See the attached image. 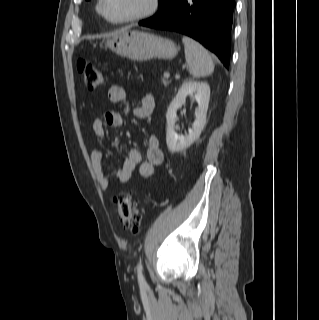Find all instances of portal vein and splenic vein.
Instances as JSON below:
<instances>
[{
	"instance_id": "18ae733b",
	"label": "portal vein and splenic vein",
	"mask_w": 319,
	"mask_h": 320,
	"mask_svg": "<svg viewBox=\"0 0 319 320\" xmlns=\"http://www.w3.org/2000/svg\"><path fill=\"white\" fill-rule=\"evenodd\" d=\"M164 77L169 78L170 74L168 72L164 73Z\"/></svg>"
}]
</instances>
